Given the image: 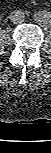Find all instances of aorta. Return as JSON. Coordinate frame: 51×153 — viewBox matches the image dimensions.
<instances>
[{
    "label": "aorta",
    "mask_w": 51,
    "mask_h": 153,
    "mask_svg": "<svg viewBox=\"0 0 51 153\" xmlns=\"http://www.w3.org/2000/svg\"><path fill=\"white\" fill-rule=\"evenodd\" d=\"M32 17L36 20V23L45 27H51V13L50 12H38L35 11L32 14Z\"/></svg>",
    "instance_id": "762f6f07"
}]
</instances>
